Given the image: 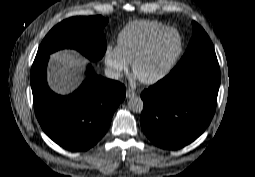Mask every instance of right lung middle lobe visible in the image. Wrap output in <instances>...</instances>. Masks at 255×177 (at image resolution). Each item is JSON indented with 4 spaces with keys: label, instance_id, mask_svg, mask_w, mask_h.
I'll use <instances>...</instances> for the list:
<instances>
[{
    "label": "right lung middle lobe",
    "instance_id": "1",
    "mask_svg": "<svg viewBox=\"0 0 255 177\" xmlns=\"http://www.w3.org/2000/svg\"><path fill=\"white\" fill-rule=\"evenodd\" d=\"M108 19L102 16L72 17L62 21L43 39L36 58L63 48H73L91 61L99 60L106 51L103 28Z\"/></svg>",
    "mask_w": 255,
    "mask_h": 177
}]
</instances>
